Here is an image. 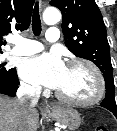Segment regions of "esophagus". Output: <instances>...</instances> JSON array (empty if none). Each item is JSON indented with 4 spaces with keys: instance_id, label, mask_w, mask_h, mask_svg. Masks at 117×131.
I'll use <instances>...</instances> for the list:
<instances>
[{
    "instance_id": "obj_1",
    "label": "esophagus",
    "mask_w": 117,
    "mask_h": 131,
    "mask_svg": "<svg viewBox=\"0 0 117 131\" xmlns=\"http://www.w3.org/2000/svg\"><path fill=\"white\" fill-rule=\"evenodd\" d=\"M39 1H40V5H42L43 4V0H39ZM43 109L44 110H49V109H51V105L48 104V103L43 104Z\"/></svg>"
}]
</instances>
